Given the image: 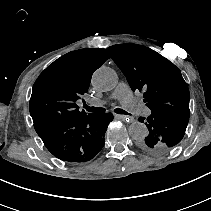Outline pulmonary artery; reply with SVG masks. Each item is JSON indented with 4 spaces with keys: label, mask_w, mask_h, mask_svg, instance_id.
<instances>
[{
    "label": "pulmonary artery",
    "mask_w": 211,
    "mask_h": 211,
    "mask_svg": "<svg viewBox=\"0 0 211 211\" xmlns=\"http://www.w3.org/2000/svg\"><path fill=\"white\" fill-rule=\"evenodd\" d=\"M110 98L118 99L128 111L134 110V114L137 117L147 118L150 115V108L144 103L138 102L134 94L130 91V86L127 83L119 84ZM105 103V100L94 99L90 102V105L99 107Z\"/></svg>",
    "instance_id": "pulmonary-artery-1"
}]
</instances>
